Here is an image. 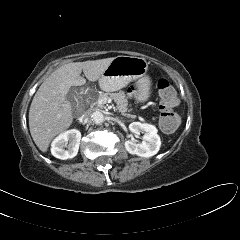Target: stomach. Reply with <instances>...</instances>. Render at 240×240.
Segmentation results:
<instances>
[{
    "instance_id": "stomach-1",
    "label": "stomach",
    "mask_w": 240,
    "mask_h": 240,
    "mask_svg": "<svg viewBox=\"0 0 240 240\" xmlns=\"http://www.w3.org/2000/svg\"><path fill=\"white\" fill-rule=\"evenodd\" d=\"M147 69L148 63L142 57H115L100 77L99 86L102 90L111 92L137 80L135 99L137 102H145L150 95V78L146 75Z\"/></svg>"
}]
</instances>
